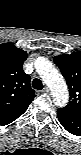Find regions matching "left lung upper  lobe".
Wrapping results in <instances>:
<instances>
[{"mask_svg": "<svg viewBox=\"0 0 81 155\" xmlns=\"http://www.w3.org/2000/svg\"><path fill=\"white\" fill-rule=\"evenodd\" d=\"M54 62L60 68L68 84L70 100L61 108L71 116L81 118V54H62L54 57Z\"/></svg>", "mask_w": 81, "mask_h": 155, "instance_id": "1", "label": "left lung upper lobe"}]
</instances>
